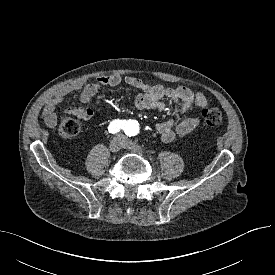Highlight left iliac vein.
<instances>
[{"instance_id":"4c4485c4","label":"left iliac vein","mask_w":275,"mask_h":275,"mask_svg":"<svg viewBox=\"0 0 275 275\" xmlns=\"http://www.w3.org/2000/svg\"><path fill=\"white\" fill-rule=\"evenodd\" d=\"M122 147L126 148V149L134 150V151L139 152V153H143V150L140 146H138L137 144H135L131 141H128L124 138H122Z\"/></svg>"}]
</instances>
